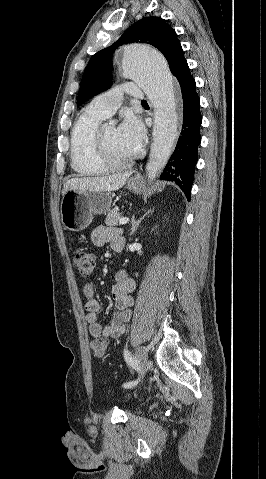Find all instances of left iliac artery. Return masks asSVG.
I'll return each mask as SVG.
<instances>
[{
    "instance_id": "left-iliac-artery-1",
    "label": "left iliac artery",
    "mask_w": 266,
    "mask_h": 479,
    "mask_svg": "<svg viewBox=\"0 0 266 479\" xmlns=\"http://www.w3.org/2000/svg\"><path fill=\"white\" fill-rule=\"evenodd\" d=\"M124 358L126 360V362L130 365V368L132 370H140V366L139 364L137 363V360L133 357V355L129 352L128 349H124ZM140 379L142 378L141 376L139 377ZM138 383V381H130V382H126L123 384V387L124 388H131L133 386H135L136 384Z\"/></svg>"
}]
</instances>
